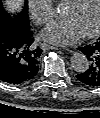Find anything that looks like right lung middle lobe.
<instances>
[{
	"mask_svg": "<svg viewBox=\"0 0 100 118\" xmlns=\"http://www.w3.org/2000/svg\"><path fill=\"white\" fill-rule=\"evenodd\" d=\"M29 30L28 2L25 0L22 11L12 14L7 12L0 2V34L7 32L11 35H21Z\"/></svg>",
	"mask_w": 100,
	"mask_h": 118,
	"instance_id": "dd1d6c3e",
	"label": "right lung middle lobe"
}]
</instances>
